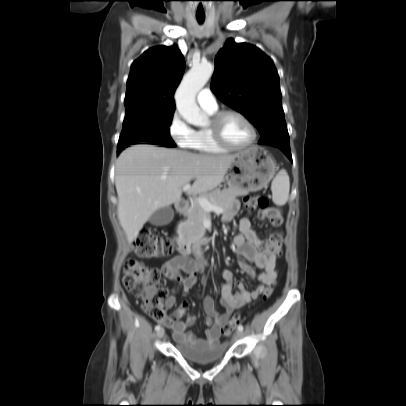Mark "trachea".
Returning a JSON list of instances; mask_svg holds the SVG:
<instances>
[{
    "instance_id": "1",
    "label": "trachea",
    "mask_w": 406,
    "mask_h": 406,
    "mask_svg": "<svg viewBox=\"0 0 406 406\" xmlns=\"http://www.w3.org/2000/svg\"><path fill=\"white\" fill-rule=\"evenodd\" d=\"M197 21H198L199 23H203V22H204V17H203V18L197 17Z\"/></svg>"
}]
</instances>
